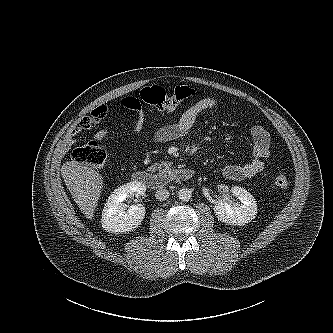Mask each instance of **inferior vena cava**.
Here are the masks:
<instances>
[{
    "label": "inferior vena cava",
    "instance_id": "1",
    "mask_svg": "<svg viewBox=\"0 0 333 333\" xmlns=\"http://www.w3.org/2000/svg\"><path fill=\"white\" fill-rule=\"evenodd\" d=\"M170 196V193L165 188H160L156 191L155 197L159 201L166 200Z\"/></svg>",
    "mask_w": 333,
    "mask_h": 333
}]
</instances>
